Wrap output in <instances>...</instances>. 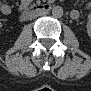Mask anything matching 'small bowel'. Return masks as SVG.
Masks as SVG:
<instances>
[{
  "label": "small bowel",
  "instance_id": "c3829d8e",
  "mask_svg": "<svg viewBox=\"0 0 91 91\" xmlns=\"http://www.w3.org/2000/svg\"><path fill=\"white\" fill-rule=\"evenodd\" d=\"M24 5H25V2L22 3V6H24ZM3 9H4V10L7 9V5H6V4L3 5Z\"/></svg>",
  "mask_w": 91,
  "mask_h": 91
}]
</instances>
